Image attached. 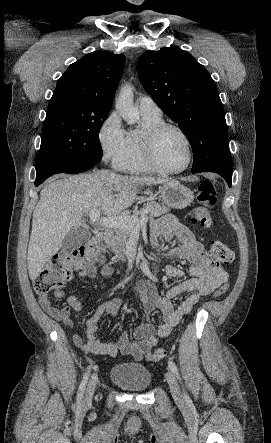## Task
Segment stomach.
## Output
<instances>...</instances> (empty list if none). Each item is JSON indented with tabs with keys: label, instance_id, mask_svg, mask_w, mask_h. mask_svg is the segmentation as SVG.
<instances>
[{
	"label": "stomach",
	"instance_id": "stomach-1",
	"mask_svg": "<svg viewBox=\"0 0 271 443\" xmlns=\"http://www.w3.org/2000/svg\"><path fill=\"white\" fill-rule=\"evenodd\" d=\"M160 190L161 198L168 208L183 210V208L190 206L194 200V192L182 186L180 182H167Z\"/></svg>",
	"mask_w": 271,
	"mask_h": 443
}]
</instances>
